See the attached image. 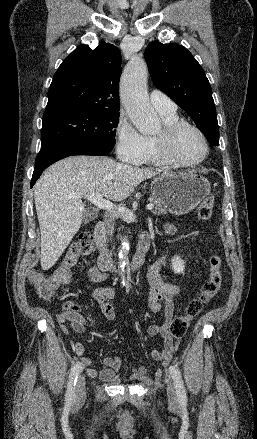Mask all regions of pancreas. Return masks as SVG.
<instances>
[{
    "mask_svg": "<svg viewBox=\"0 0 257 439\" xmlns=\"http://www.w3.org/2000/svg\"><path fill=\"white\" fill-rule=\"evenodd\" d=\"M150 201L155 204V209L153 210L154 215L166 214L169 210L168 207L157 197H150Z\"/></svg>",
    "mask_w": 257,
    "mask_h": 439,
    "instance_id": "1",
    "label": "pancreas"
}]
</instances>
